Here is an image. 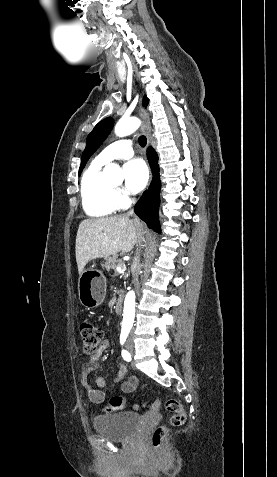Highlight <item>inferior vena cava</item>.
<instances>
[{
  "label": "inferior vena cava",
  "instance_id": "inferior-vena-cava-1",
  "mask_svg": "<svg viewBox=\"0 0 277 477\" xmlns=\"http://www.w3.org/2000/svg\"><path fill=\"white\" fill-rule=\"evenodd\" d=\"M133 203L135 202V199L133 198ZM134 215V210L131 209L127 212V216H132ZM135 222H138V219L135 218L134 219ZM142 239V235L139 236V242L141 241ZM133 272H132V278H133V285L135 287V291H136V294L139 295L140 291H139V280H138V277H139V272H140V269H141V265H140V257L138 255V250H137V253H136V256L134 257L133 259Z\"/></svg>",
  "mask_w": 277,
  "mask_h": 477
}]
</instances>
